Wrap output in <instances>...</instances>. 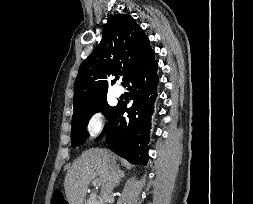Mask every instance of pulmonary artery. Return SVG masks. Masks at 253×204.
I'll return each instance as SVG.
<instances>
[{
  "mask_svg": "<svg viewBox=\"0 0 253 204\" xmlns=\"http://www.w3.org/2000/svg\"><path fill=\"white\" fill-rule=\"evenodd\" d=\"M122 93H123V89H122V87H120V86H116V87L114 88V90H113V95H114L115 97H120V96L122 95Z\"/></svg>",
  "mask_w": 253,
  "mask_h": 204,
  "instance_id": "1",
  "label": "pulmonary artery"
}]
</instances>
